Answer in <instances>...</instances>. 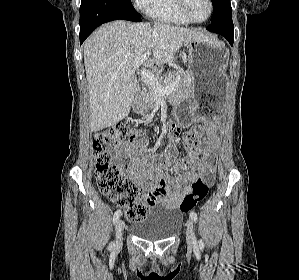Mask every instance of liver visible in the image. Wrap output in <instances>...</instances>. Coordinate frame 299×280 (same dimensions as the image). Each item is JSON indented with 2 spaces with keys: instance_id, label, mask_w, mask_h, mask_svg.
<instances>
[{
  "instance_id": "obj_1",
  "label": "liver",
  "mask_w": 299,
  "mask_h": 280,
  "mask_svg": "<svg viewBox=\"0 0 299 280\" xmlns=\"http://www.w3.org/2000/svg\"><path fill=\"white\" fill-rule=\"evenodd\" d=\"M209 37L164 23L116 20L99 27L84 43L90 129L111 127L129 115L140 87L133 63L146 53V67L172 59L183 43Z\"/></svg>"
}]
</instances>
